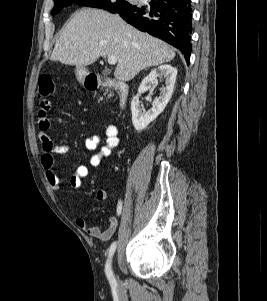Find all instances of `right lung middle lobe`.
<instances>
[{
	"label": "right lung middle lobe",
	"mask_w": 267,
	"mask_h": 301,
	"mask_svg": "<svg viewBox=\"0 0 267 301\" xmlns=\"http://www.w3.org/2000/svg\"><path fill=\"white\" fill-rule=\"evenodd\" d=\"M76 3L78 5L99 8L111 13H120L130 9L133 5L127 0H54L52 15L60 12L64 7Z\"/></svg>",
	"instance_id": "right-lung-middle-lobe-1"
}]
</instances>
